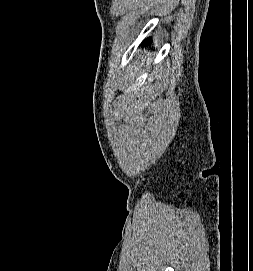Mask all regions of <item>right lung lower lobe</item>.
I'll return each instance as SVG.
<instances>
[{"label": "right lung lower lobe", "mask_w": 253, "mask_h": 271, "mask_svg": "<svg viewBox=\"0 0 253 271\" xmlns=\"http://www.w3.org/2000/svg\"><path fill=\"white\" fill-rule=\"evenodd\" d=\"M149 43H150V40L147 39V40H145V41L143 42V45H144V44L147 45V44H149Z\"/></svg>", "instance_id": "98d812e1"}]
</instances>
